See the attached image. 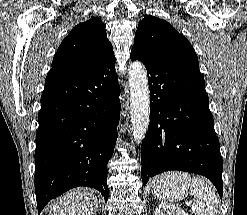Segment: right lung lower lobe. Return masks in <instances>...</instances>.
<instances>
[{
    "label": "right lung lower lobe",
    "mask_w": 247,
    "mask_h": 215,
    "mask_svg": "<svg viewBox=\"0 0 247 215\" xmlns=\"http://www.w3.org/2000/svg\"><path fill=\"white\" fill-rule=\"evenodd\" d=\"M115 62L86 74L49 71L36 135L38 214L51 199L77 186L97 189L107 202V163L120 118Z\"/></svg>",
    "instance_id": "obj_1"
}]
</instances>
